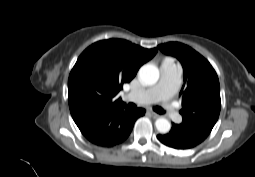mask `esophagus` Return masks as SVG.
Instances as JSON below:
<instances>
[{
	"mask_svg": "<svg viewBox=\"0 0 255 177\" xmlns=\"http://www.w3.org/2000/svg\"><path fill=\"white\" fill-rule=\"evenodd\" d=\"M147 113H149L153 118H159L160 115L152 111L151 109H147Z\"/></svg>",
	"mask_w": 255,
	"mask_h": 177,
	"instance_id": "obj_1",
	"label": "esophagus"
}]
</instances>
